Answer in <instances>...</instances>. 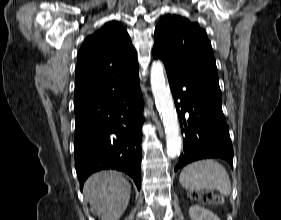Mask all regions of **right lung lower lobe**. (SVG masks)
Segmentation results:
<instances>
[{
  "mask_svg": "<svg viewBox=\"0 0 281 220\" xmlns=\"http://www.w3.org/2000/svg\"><path fill=\"white\" fill-rule=\"evenodd\" d=\"M143 100L139 79L75 109V168L80 186L94 172L116 169L140 189Z\"/></svg>",
  "mask_w": 281,
  "mask_h": 220,
  "instance_id": "right-lung-lower-lobe-1",
  "label": "right lung lower lobe"
}]
</instances>
